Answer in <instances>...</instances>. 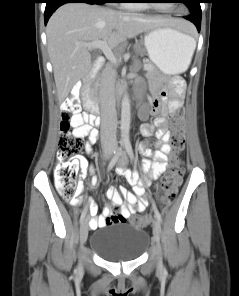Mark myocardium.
Masks as SVG:
<instances>
[{
    "mask_svg": "<svg viewBox=\"0 0 239 296\" xmlns=\"http://www.w3.org/2000/svg\"><path fill=\"white\" fill-rule=\"evenodd\" d=\"M148 2L145 3L146 6L156 9V10H160V11H168L169 9H164L161 6L155 4V3H151L152 0H147Z\"/></svg>",
    "mask_w": 239,
    "mask_h": 296,
    "instance_id": "1",
    "label": "myocardium"
}]
</instances>
